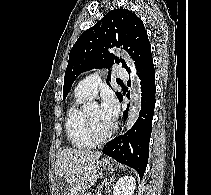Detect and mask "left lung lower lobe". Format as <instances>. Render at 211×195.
I'll list each match as a JSON object with an SVG mask.
<instances>
[{"label": "left lung lower lobe", "instance_id": "obj_1", "mask_svg": "<svg viewBox=\"0 0 211 195\" xmlns=\"http://www.w3.org/2000/svg\"><path fill=\"white\" fill-rule=\"evenodd\" d=\"M137 72L141 80L142 92L139 118L126 134L110 141L102 152L120 163L133 167L142 178L149 156V141L155 107L156 87L153 59L146 61ZM119 100H122V96ZM127 114L128 108L124 112V120Z\"/></svg>", "mask_w": 211, "mask_h": 195}]
</instances>
